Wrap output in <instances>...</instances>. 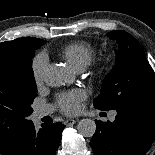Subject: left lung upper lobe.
I'll return each instance as SVG.
<instances>
[{"instance_id":"5c2ea615","label":"left lung upper lobe","mask_w":155,"mask_h":155,"mask_svg":"<svg viewBox=\"0 0 155 155\" xmlns=\"http://www.w3.org/2000/svg\"><path fill=\"white\" fill-rule=\"evenodd\" d=\"M118 43L116 64L93 101L100 110H116L140 100L155 99V74L140 43L124 30L107 34Z\"/></svg>"}]
</instances>
